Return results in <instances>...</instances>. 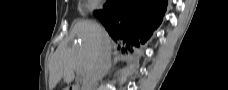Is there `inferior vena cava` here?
I'll return each mask as SVG.
<instances>
[{
	"label": "inferior vena cava",
	"instance_id": "obj_1",
	"mask_svg": "<svg viewBox=\"0 0 228 90\" xmlns=\"http://www.w3.org/2000/svg\"><path fill=\"white\" fill-rule=\"evenodd\" d=\"M110 63L109 53L102 51L83 81V90H95L98 81L108 72Z\"/></svg>",
	"mask_w": 228,
	"mask_h": 90
}]
</instances>
